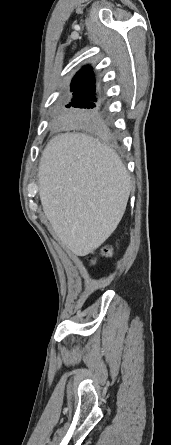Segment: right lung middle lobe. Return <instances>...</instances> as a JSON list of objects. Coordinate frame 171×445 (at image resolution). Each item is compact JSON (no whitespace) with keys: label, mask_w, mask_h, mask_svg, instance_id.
Instances as JSON below:
<instances>
[{"label":"right lung middle lobe","mask_w":171,"mask_h":445,"mask_svg":"<svg viewBox=\"0 0 171 445\" xmlns=\"http://www.w3.org/2000/svg\"><path fill=\"white\" fill-rule=\"evenodd\" d=\"M95 95L73 94L72 101L66 105V110L59 113V118L65 122L82 126L97 134H105L102 125V107L96 103Z\"/></svg>","instance_id":"dd1d6c3e"}]
</instances>
